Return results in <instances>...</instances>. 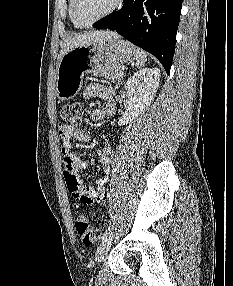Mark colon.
I'll return each instance as SVG.
<instances>
[{"label":"colon","instance_id":"obj_1","mask_svg":"<svg viewBox=\"0 0 233 286\" xmlns=\"http://www.w3.org/2000/svg\"><path fill=\"white\" fill-rule=\"evenodd\" d=\"M61 117L73 126H78L83 117L84 106L81 101H73L65 104L61 108ZM75 229L81 241L84 244H92L99 238V233L94 229L88 218L84 215H79L75 221Z\"/></svg>","mask_w":233,"mask_h":286}]
</instances>
